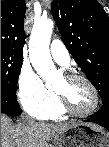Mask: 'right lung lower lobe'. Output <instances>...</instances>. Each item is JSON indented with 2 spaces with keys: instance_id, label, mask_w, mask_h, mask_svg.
<instances>
[{
  "instance_id": "right-lung-lower-lobe-1",
  "label": "right lung lower lobe",
  "mask_w": 109,
  "mask_h": 147,
  "mask_svg": "<svg viewBox=\"0 0 109 147\" xmlns=\"http://www.w3.org/2000/svg\"><path fill=\"white\" fill-rule=\"evenodd\" d=\"M1 113L17 116L21 114L20 106L16 99L1 92Z\"/></svg>"
}]
</instances>
